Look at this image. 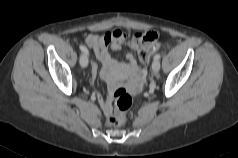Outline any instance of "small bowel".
Here are the masks:
<instances>
[{"instance_id":"c3829d8e","label":"small bowel","mask_w":238,"mask_h":158,"mask_svg":"<svg viewBox=\"0 0 238 158\" xmlns=\"http://www.w3.org/2000/svg\"><path fill=\"white\" fill-rule=\"evenodd\" d=\"M148 34L157 35L155 32H147L136 33L130 37L121 30H114L106 32L103 35L89 34L85 38V44L93 50L101 63V78L106 80L111 88L114 86L117 78L129 75L131 78V87L137 89L144 78V71L140 69L135 57L131 53L126 54V63H119L112 58L109 49L119 51L122 45L127 44L132 49L137 50L141 46L150 44V42L145 39V36ZM91 72L93 75L97 74V63H92ZM99 102L104 112L108 114L112 109L111 103L102 97H99Z\"/></svg>"}]
</instances>
